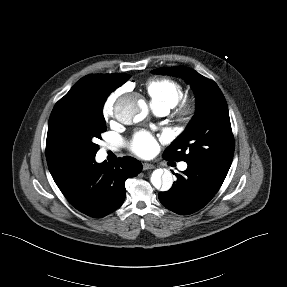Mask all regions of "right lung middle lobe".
Here are the masks:
<instances>
[{"instance_id": "right-lung-middle-lobe-1", "label": "right lung middle lobe", "mask_w": 287, "mask_h": 287, "mask_svg": "<svg viewBox=\"0 0 287 287\" xmlns=\"http://www.w3.org/2000/svg\"><path fill=\"white\" fill-rule=\"evenodd\" d=\"M110 93L101 87H88L60 99L49 118L46 150L74 166L95 157L99 145L94 141L106 131L102 109Z\"/></svg>"}]
</instances>
